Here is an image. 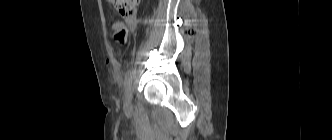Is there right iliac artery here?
<instances>
[{"label": "right iliac artery", "mask_w": 332, "mask_h": 140, "mask_svg": "<svg viewBox=\"0 0 332 140\" xmlns=\"http://www.w3.org/2000/svg\"><path fill=\"white\" fill-rule=\"evenodd\" d=\"M131 84V74L127 73L125 78V90L127 91Z\"/></svg>", "instance_id": "right-iliac-artery-1"}]
</instances>
